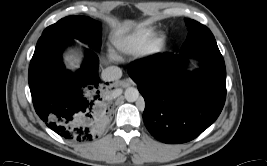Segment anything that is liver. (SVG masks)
I'll list each match as a JSON object with an SVG mask.
<instances>
[{
    "mask_svg": "<svg viewBox=\"0 0 267 166\" xmlns=\"http://www.w3.org/2000/svg\"><path fill=\"white\" fill-rule=\"evenodd\" d=\"M133 25V21H125L121 29L119 30L120 34L125 33Z\"/></svg>",
    "mask_w": 267,
    "mask_h": 166,
    "instance_id": "1",
    "label": "liver"
}]
</instances>
